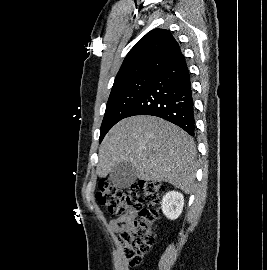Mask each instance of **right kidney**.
Masks as SVG:
<instances>
[{"instance_id": "1", "label": "right kidney", "mask_w": 267, "mask_h": 270, "mask_svg": "<svg viewBox=\"0 0 267 270\" xmlns=\"http://www.w3.org/2000/svg\"><path fill=\"white\" fill-rule=\"evenodd\" d=\"M184 206V197L181 193L170 191L164 195L161 208L164 215L171 220L177 219L182 213Z\"/></svg>"}]
</instances>
